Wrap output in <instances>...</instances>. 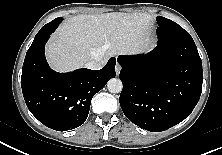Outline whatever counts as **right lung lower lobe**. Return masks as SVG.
Segmentation results:
<instances>
[{"label":"right lung lower lobe","instance_id":"1","mask_svg":"<svg viewBox=\"0 0 222 155\" xmlns=\"http://www.w3.org/2000/svg\"><path fill=\"white\" fill-rule=\"evenodd\" d=\"M55 26L43 31L27 51L21 87L28 109L45 126L66 131L82 125L89 113L92 97L115 77L116 59L111 58L98 71L79 69L57 73L47 64L45 43Z\"/></svg>","mask_w":222,"mask_h":155}]
</instances>
